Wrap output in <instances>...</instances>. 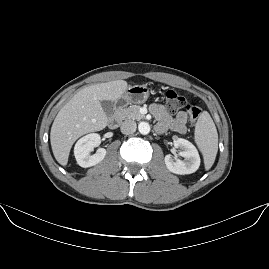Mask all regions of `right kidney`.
Returning <instances> with one entry per match:
<instances>
[{
	"instance_id": "obj_1",
	"label": "right kidney",
	"mask_w": 269,
	"mask_h": 269,
	"mask_svg": "<svg viewBox=\"0 0 269 269\" xmlns=\"http://www.w3.org/2000/svg\"><path fill=\"white\" fill-rule=\"evenodd\" d=\"M100 135L97 133L88 134L80 138L74 147V155L79 166L83 168L91 167L101 162L106 155L104 148H99L95 154L91 155L94 147L99 146Z\"/></svg>"
}]
</instances>
